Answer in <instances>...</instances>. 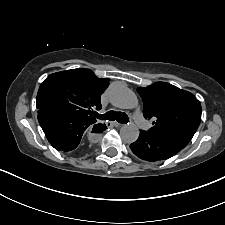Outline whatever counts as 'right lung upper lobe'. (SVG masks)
I'll return each instance as SVG.
<instances>
[{"label":"right lung upper lobe","mask_w":225,"mask_h":225,"mask_svg":"<svg viewBox=\"0 0 225 225\" xmlns=\"http://www.w3.org/2000/svg\"><path fill=\"white\" fill-rule=\"evenodd\" d=\"M109 79H100L89 69L77 68L49 75L40 85L36 107L85 119L95 124L94 109H101V94Z\"/></svg>","instance_id":"right-lung-upper-lobe-1"}]
</instances>
